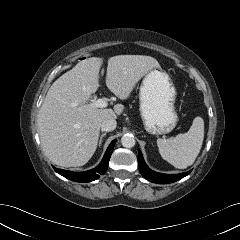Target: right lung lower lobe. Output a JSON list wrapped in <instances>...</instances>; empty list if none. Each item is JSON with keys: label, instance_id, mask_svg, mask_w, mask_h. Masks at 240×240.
Segmentation results:
<instances>
[{"label": "right lung lower lobe", "instance_id": "98d812e1", "mask_svg": "<svg viewBox=\"0 0 240 240\" xmlns=\"http://www.w3.org/2000/svg\"><path fill=\"white\" fill-rule=\"evenodd\" d=\"M116 140H113L109 147L106 150V153L101 161V163L94 169L85 171V172H71L68 170H62L54 167V170L59 173L60 175L64 176L67 179H70L75 182H91L93 180H96L100 177V175H103L107 168H108V163L109 159L111 157L114 145H115Z\"/></svg>", "mask_w": 240, "mask_h": 240}]
</instances>
